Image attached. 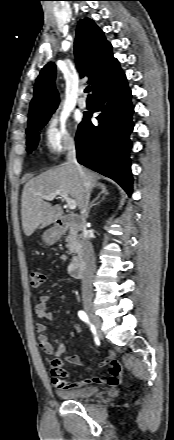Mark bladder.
<instances>
[{"label": "bladder", "instance_id": "1", "mask_svg": "<svg viewBox=\"0 0 174 440\" xmlns=\"http://www.w3.org/2000/svg\"><path fill=\"white\" fill-rule=\"evenodd\" d=\"M97 387L95 386H83L77 389L69 391H61L60 394L65 399H81L94 395L97 392Z\"/></svg>", "mask_w": 174, "mask_h": 440}]
</instances>
